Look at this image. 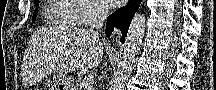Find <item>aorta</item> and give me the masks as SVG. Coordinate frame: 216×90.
Wrapping results in <instances>:
<instances>
[{
  "label": "aorta",
  "instance_id": "762f6f07",
  "mask_svg": "<svg viewBox=\"0 0 216 90\" xmlns=\"http://www.w3.org/2000/svg\"><path fill=\"white\" fill-rule=\"evenodd\" d=\"M146 28V16L142 12L134 14L122 54L115 66L114 76L110 84V90H125L136 60H138L144 32Z\"/></svg>",
  "mask_w": 216,
  "mask_h": 90
}]
</instances>
